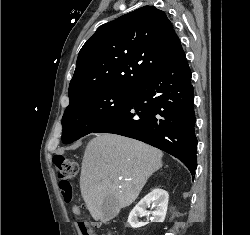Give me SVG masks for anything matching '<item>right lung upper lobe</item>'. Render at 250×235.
Returning <instances> with one entry per match:
<instances>
[{
    "mask_svg": "<svg viewBox=\"0 0 250 235\" xmlns=\"http://www.w3.org/2000/svg\"><path fill=\"white\" fill-rule=\"evenodd\" d=\"M180 42L165 12L144 6L103 24L81 48L70 101L102 89H135L164 68Z\"/></svg>",
    "mask_w": 250,
    "mask_h": 235,
    "instance_id": "cb5924a9",
    "label": "right lung upper lobe"
}]
</instances>
